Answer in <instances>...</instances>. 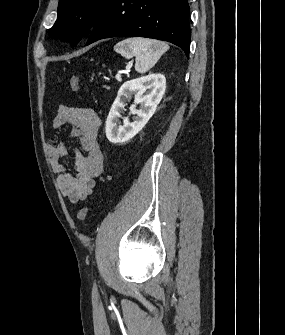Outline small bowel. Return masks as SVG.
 <instances>
[{
    "label": "small bowel",
    "instance_id": "obj_1",
    "mask_svg": "<svg viewBox=\"0 0 285 335\" xmlns=\"http://www.w3.org/2000/svg\"><path fill=\"white\" fill-rule=\"evenodd\" d=\"M100 124L95 110L64 104L59 105L52 121L54 129L70 126V136L80 142V150H76L74 156V173H70L63 163L68 154L66 144L59 142L48 147L59 189L73 203L84 200L93 192L95 180L104 170L105 158L97 140Z\"/></svg>",
    "mask_w": 285,
    "mask_h": 335
}]
</instances>
